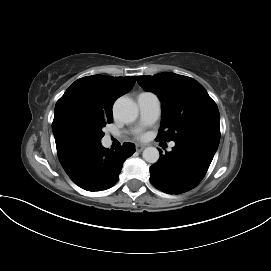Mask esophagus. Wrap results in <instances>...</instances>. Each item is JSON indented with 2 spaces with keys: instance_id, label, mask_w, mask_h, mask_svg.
<instances>
[{
  "instance_id": "34e87169",
  "label": "esophagus",
  "mask_w": 271,
  "mask_h": 271,
  "mask_svg": "<svg viewBox=\"0 0 271 271\" xmlns=\"http://www.w3.org/2000/svg\"><path fill=\"white\" fill-rule=\"evenodd\" d=\"M146 146L142 144H136V151L141 152Z\"/></svg>"
}]
</instances>
